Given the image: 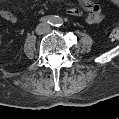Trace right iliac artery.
Returning <instances> with one entry per match:
<instances>
[{
    "instance_id": "82829eb1",
    "label": "right iliac artery",
    "mask_w": 119,
    "mask_h": 119,
    "mask_svg": "<svg viewBox=\"0 0 119 119\" xmlns=\"http://www.w3.org/2000/svg\"><path fill=\"white\" fill-rule=\"evenodd\" d=\"M40 21L47 22L50 24H55L58 22V18H56V16H45V17H42Z\"/></svg>"
}]
</instances>
